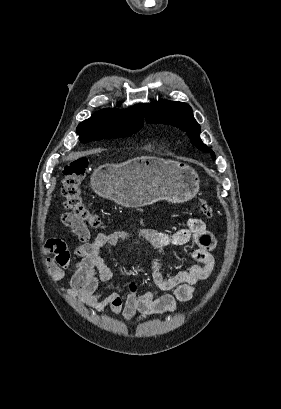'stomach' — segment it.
<instances>
[{
  "label": "stomach",
  "instance_id": "1",
  "mask_svg": "<svg viewBox=\"0 0 281 409\" xmlns=\"http://www.w3.org/2000/svg\"><path fill=\"white\" fill-rule=\"evenodd\" d=\"M96 194L114 200L121 207H146L157 200L186 202L200 188L192 166L159 156H137L120 164H101L91 174Z\"/></svg>",
  "mask_w": 281,
  "mask_h": 409
}]
</instances>
